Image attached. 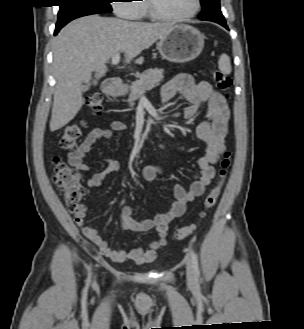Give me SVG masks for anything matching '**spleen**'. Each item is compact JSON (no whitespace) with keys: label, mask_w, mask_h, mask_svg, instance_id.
Returning a JSON list of instances; mask_svg holds the SVG:
<instances>
[{"label":"spleen","mask_w":304,"mask_h":329,"mask_svg":"<svg viewBox=\"0 0 304 329\" xmlns=\"http://www.w3.org/2000/svg\"><path fill=\"white\" fill-rule=\"evenodd\" d=\"M219 69L224 74H230L232 71L231 64H230V58L226 54H222L218 61Z\"/></svg>","instance_id":"spleen-1"}]
</instances>
